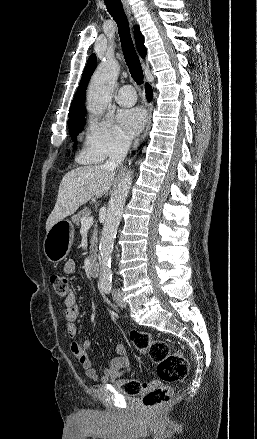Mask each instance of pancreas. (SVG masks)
<instances>
[{
	"label": "pancreas",
	"mask_w": 257,
	"mask_h": 439,
	"mask_svg": "<svg viewBox=\"0 0 257 439\" xmlns=\"http://www.w3.org/2000/svg\"><path fill=\"white\" fill-rule=\"evenodd\" d=\"M90 215V211L88 208H84L83 210H81L79 213H77L76 215L72 216V222L77 224L78 226L81 223V220L83 218L89 217ZM97 241V229L94 228L93 230V234L91 237V247L93 248L94 243Z\"/></svg>",
	"instance_id": "obj_1"
}]
</instances>
